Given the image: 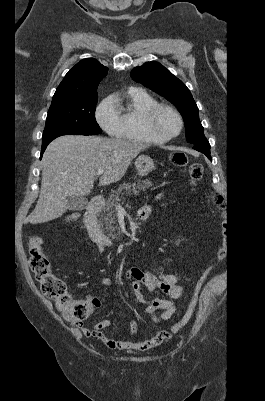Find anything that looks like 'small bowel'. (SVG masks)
I'll return each instance as SVG.
<instances>
[{
	"label": "small bowel",
	"mask_w": 265,
	"mask_h": 401,
	"mask_svg": "<svg viewBox=\"0 0 265 401\" xmlns=\"http://www.w3.org/2000/svg\"><path fill=\"white\" fill-rule=\"evenodd\" d=\"M160 195L157 199H160ZM139 214L143 220L151 214V207L146 205L139 210ZM100 255L105 251L104 245L95 243ZM125 277L131 281V288L136 300L144 306V311L152 316V321L158 323L160 320L171 318L176 313L174 303L169 299L154 298L148 299L143 293V287L148 292L153 293L160 291L170 299L181 298L185 293V287L180 283L181 276L176 273H163L153 269H141L139 267H130ZM100 283L105 286H112L113 281L108 277H101ZM97 300V299H96ZM98 305L100 304L99 300ZM110 321L108 319L96 323L90 329H83V333L88 337H96L100 339L107 347L117 350H147L159 346L163 341L168 339L166 331H161L156 335L146 340L123 341L116 340L102 332V329L108 327ZM131 334L134 335L137 331L135 322H131Z\"/></svg>",
	"instance_id": "c3829d8e"
}]
</instances>
